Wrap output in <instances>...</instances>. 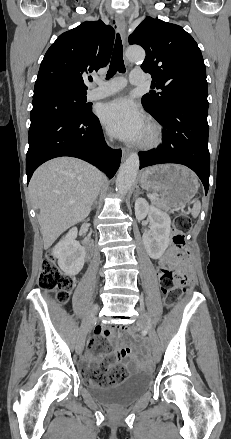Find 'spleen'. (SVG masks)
Instances as JSON below:
<instances>
[{"label":"spleen","instance_id":"spleen-1","mask_svg":"<svg viewBox=\"0 0 231 439\" xmlns=\"http://www.w3.org/2000/svg\"><path fill=\"white\" fill-rule=\"evenodd\" d=\"M200 209H201L200 202L199 201L194 202L193 208L191 210V214L194 218H196L199 215Z\"/></svg>","mask_w":231,"mask_h":439}]
</instances>
